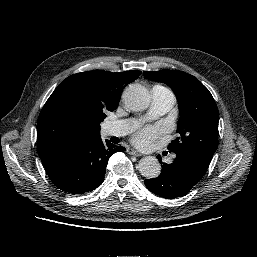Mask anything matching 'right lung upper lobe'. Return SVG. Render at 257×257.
<instances>
[{
    "label": "right lung upper lobe",
    "instance_id": "cb5924a9",
    "mask_svg": "<svg viewBox=\"0 0 257 257\" xmlns=\"http://www.w3.org/2000/svg\"><path fill=\"white\" fill-rule=\"evenodd\" d=\"M141 75L131 70L73 74L51 94L37 121L39 156L60 145L100 137V115L114 111L124 87Z\"/></svg>",
    "mask_w": 257,
    "mask_h": 257
}]
</instances>
